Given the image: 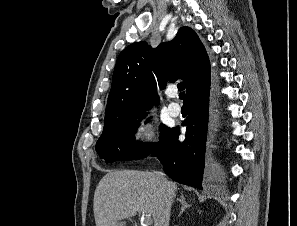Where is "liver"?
Instances as JSON below:
<instances>
[{
  "mask_svg": "<svg viewBox=\"0 0 297 226\" xmlns=\"http://www.w3.org/2000/svg\"><path fill=\"white\" fill-rule=\"evenodd\" d=\"M177 186L158 173L111 170L98 183L93 210L96 226H118L137 213L152 216L154 226H169Z\"/></svg>",
  "mask_w": 297,
  "mask_h": 226,
  "instance_id": "6515ba94",
  "label": "liver"
}]
</instances>
